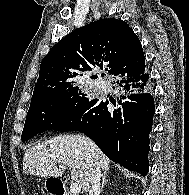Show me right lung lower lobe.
Returning a JSON list of instances; mask_svg holds the SVG:
<instances>
[{
    "instance_id": "right-lung-lower-lobe-1",
    "label": "right lung lower lobe",
    "mask_w": 189,
    "mask_h": 195,
    "mask_svg": "<svg viewBox=\"0 0 189 195\" xmlns=\"http://www.w3.org/2000/svg\"><path fill=\"white\" fill-rule=\"evenodd\" d=\"M120 96L94 99L73 114L55 131H80L115 163L146 176L149 171V133L155 105L145 66L137 71H121L116 76Z\"/></svg>"
}]
</instances>
